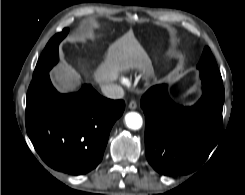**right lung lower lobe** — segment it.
<instances>
[{"label":"right lung lower lobe","mask_w":245,"mask_h":195,"mask_svg":"<svg viewBox=\"0 0 245 195\" xmlns=\"http://www.w3.org/2000/svg\"><path fill=\"white\" fill-rule=\"evenodd\" d=\"M125 103L100 96L91 85L60 94L49 74L32 80L26 98V130L51 168L81 175L102 160L110 130Z\"/></svg>","instance_id":"obj_1"}]
</instances>
